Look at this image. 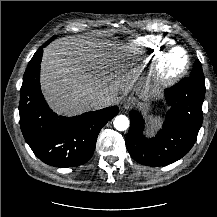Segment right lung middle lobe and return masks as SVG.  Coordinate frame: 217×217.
<instances>
[{
	"mask_svg": "<svg viewBox=\"0 0 217 217\" xmlns=\"http://www.w3.org/2000/svg\"><path fill=\"white\" fill-rule=\"evenodd\" d=\"M55 38V36L54 37H52L49 41H52L53 39Z\"/></svg>",
	"mask_w": 217,
	"mask_h": 217,
	"instance_id": "right-lung-middle-lobe-1",
	"label": "right lung middle lobe"
}]
</instances>
